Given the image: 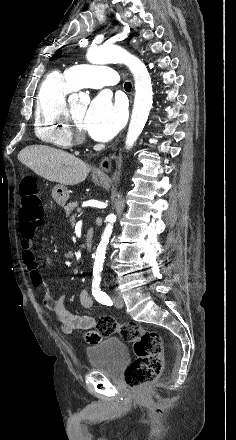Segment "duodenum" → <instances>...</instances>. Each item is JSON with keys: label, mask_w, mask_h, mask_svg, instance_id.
Here are the masks:
<instances>
[{"label": "duodenum", "mask_w": 236, "mask_h": 440, "mask_svg": "<svg viewBox=\"0 0 236 440\" xmlns=\"http://www.w3.org/2000/svg\"><path fill=\"white\" fill-rule=\"evenodd\" d=\"M94 240V230L92 228H88L85 233V249L87 251L91 250Z\"/></svg>", "instance_id": "1"}]
</instances>
